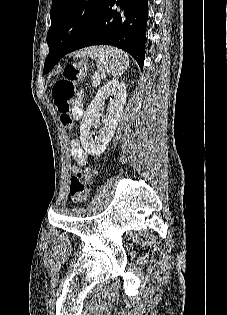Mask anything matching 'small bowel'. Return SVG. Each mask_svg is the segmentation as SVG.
I'll return each instance as SVG.
<instances>
[{
	"mask_svg": "<svg viewBox=\"0 0 227 315\" xmlns=\"http://www.w3.org/2000/svg\"><path fill=\"white\" fill-rule=\"evenodd\" d=\"M75 112L79 115L81 113V109L79 105L74 106ZM71 148V156L74 161V167L84 165L86 162V153L81 148L80 143L77 140H72L70 143Z\"/></svg>",
	"mask_w": 227,
	"mask_h": 315,
	"instance_id": "small-bowel-1",
	"label": "small bowel"
}]
</instances>
